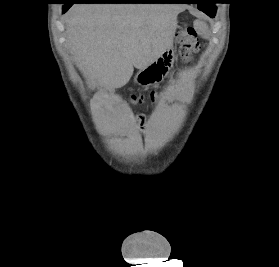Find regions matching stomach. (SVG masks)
<instances>
[{
    "label": "stomach",
    "instance_id": "0dacf381",
    "mask_svg": "<svg viewBox=\"0 0 279 267\" xmlns=\"http://www.w3.org/2000/svg\"><path fill=\"white\" fill-rule=\"evenodd\" d=\"M174 63V50L170 48L163 51L146 67L139 69L134 77L135 83L148 87L160 83L168 75Z\"/></svg>",
    "mask_w": 279,
    "mask_h": 267
}]
</instances>
